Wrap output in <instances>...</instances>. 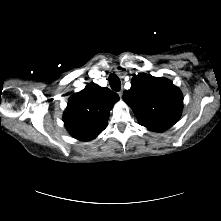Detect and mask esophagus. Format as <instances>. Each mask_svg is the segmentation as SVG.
Segmentation results:
<instances>
[{
  "label": "esophagus",
  "mask_w": 221,
  "mask_h": 221,
  "mask_svg": "<svg viewBox=\"0 0 221 221\" xmlns=\"http://www.w3.org/2000/svg\"><path fill=\"white\" fill-rule=\"evenodd\" d=\"M118 94L120 97H122V95H123L122 91H120Z\"/></svg>",
  "instance_id": "obj_1"
}]
</instances>
